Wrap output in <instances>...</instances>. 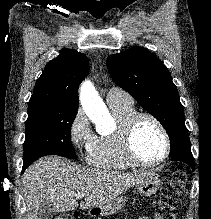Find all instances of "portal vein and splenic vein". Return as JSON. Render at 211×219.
I'll return each mask as SVG.
<instances>
[{
	"label": "portal vein and splenic vein",
	"mask_w": 211,
	"mask_h": 219,
	"mask_svg": "<svg viewBox=\"0 0 211 219\" xmlns=\"http://www.w3.org/2000/svg\"><path fill=\"white\" fill-rule=\"evenodd\" d=\"M85 196V194L83 193H78V194H75V197L78 198V199H81Z\"/></svg>",
	"instance_id": "1"
}]
</instances>
